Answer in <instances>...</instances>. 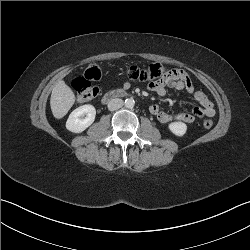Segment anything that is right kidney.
Wrapping results in <instances>:
<instances>
[{
    "label": "right kidney",
    "mask_w": 250,
    "mask_h": 250,
    "mask_svg": "<svg viewBox=\"0 0 250 250\" xmlns=\"http://www.w3.org/2000/svg\"><path fill=\"white\" fill-rule=\"evenodd\" d=\"M96 109L87 104L76 108L67 119L66 128L74 133H81L95 120Z\"/></svg>",
    "instance_id": "right-kidney-1"
}]
</instances>
